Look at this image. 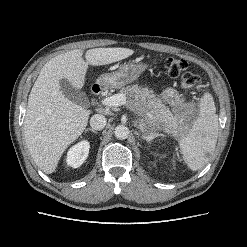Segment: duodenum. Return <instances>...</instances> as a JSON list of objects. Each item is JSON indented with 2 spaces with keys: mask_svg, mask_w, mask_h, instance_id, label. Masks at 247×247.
Here are the masks:
<instances>
[{
  "mask_svg": "<svg viewBox=\"0 0 247 247\" xmlns=\"http://www.w3.org/2000/svg\"><path fill=\"white\" fill-rule=\"evenodd\" d=\"M101 91H102L101 86H99L97 84H95V85L92 86V92H93V94L99 95L101 93Z\"/></svg>",
  "mask_w": 247,
  "mask_h": 247,
  "instance_id": "410a0bca",
  "label": "duodenum"
}]
</instances>
